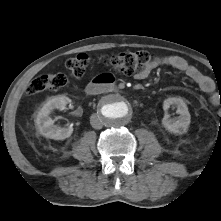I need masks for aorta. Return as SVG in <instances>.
<instances>
[{
	"mask_svg": "<svg viewBox=\"0 0 221 221\" xmlns=\"http://www.w3.org/2000/svg\"><path fill=\"white\" fill-rule=\"evenodd\" d=\"M132 115L131 103L122 95H111L105 98L100 107L103 122L112 127L125 125Z\"/></svg>",
	"mask_w": 221,
	"mask_h": 221,
	"instance_id": "1",
	"label": "aorta"
}]
</instances>
